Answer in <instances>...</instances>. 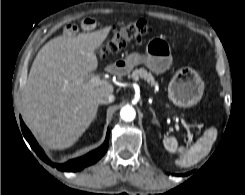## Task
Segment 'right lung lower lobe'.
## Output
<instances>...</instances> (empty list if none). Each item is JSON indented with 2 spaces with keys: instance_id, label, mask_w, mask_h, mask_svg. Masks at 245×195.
Instances as JSON below:
<instances>
[{
  "instance_id": "right-lung-lower-lobe-1",
  "label": "right lung lower lobe",
  "mask_w": 245,
  "mask_h": 195,
  "mask_svg": "<svg viewBox=\"0 0 245 195\" xmlns=\"http://www.w3.org/2000/svg\"><path fill=\"white\" fill-rule=\"evenodd\" d=\"M21 129L23 132V135L25 139L30 144L31 148L36 152V154L47 164L51 165L52 167H56L60 171H68V172H75L82 170L83 168L94 164L97 162L107 151L108 144H109V135L107 133L106 140L103 143L101 147L98 149L89 152L88 154L76 158L73 160H70L64 164H57L48 159V157L45 155L44 151L41 149V147L36 142L35 138L31 134V132L28 130V128L25 126L22 119H20Z\"/></svg>"
}]
</instances>
